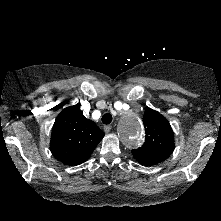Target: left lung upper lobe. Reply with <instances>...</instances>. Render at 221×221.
Returning <instances> with one entry per match:
<instances>
[{
    "instance_id": "1",
    "label": "left lung upper lobe",
    "mask_w": 221,
    "mask_h": 221,
    "mask_svg": "<svg viewBox=\"0 0 221 221\" xmlns=\"http://www.w3.org/2000/svg\"><path fill=\"white\" fill-rule=\"evenodd\" d=\"M143 123L145 142L140 148L132 150V154L142 165H155L172 154L175 147L173 131L167 119L150 108L145 111Z\"/></svg>"
}]
</instances>
